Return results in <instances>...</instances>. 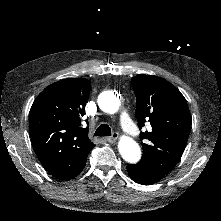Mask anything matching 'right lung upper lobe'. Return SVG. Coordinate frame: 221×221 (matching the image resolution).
<instances>
[{
	"mask_svg": "<svg viewBox=\"0 0 221 221\" xmlns=\"http://www.w3.org/2000/svg\"><path fill=\"white\" fill-rule=\"evenodd\" d=\"M90 90L85 78L60 80L46 87L30 109L33 147L43 167L58 179L80 174L95 146L88 138V127H81Z\"/></svg>",
	"mask_w": 221,
	"mask_h": 221,
	"instance_id": "cb5924a9",
	"label": "right lung upper lobe"
}]
</instances>
